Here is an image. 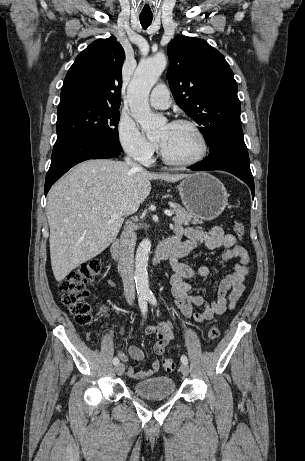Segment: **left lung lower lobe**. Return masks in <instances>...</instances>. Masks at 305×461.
Here are the masks:
<instances>
[{"label":"left lung lower lobe","mask_w":305,"mask_h":461,"mask_svg":"<svg viewBox=\"0 0 305 461\" xmlns=\"http://www.w3.org/2000/svg\"><path fill=\"white\" fill-rule=\"evenodd\" d=\"M188 168L194 171L223 170L232 173L249 186L254 197V180L241 127L226 130L218 139L215 152Z\"/></svg>","instance_id":"1"}]
</instances>
